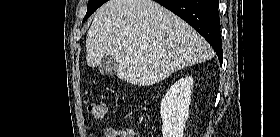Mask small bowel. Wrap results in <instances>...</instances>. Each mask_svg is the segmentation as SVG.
Returning a JSON list of instances; mask_svg holds the SVG:
<instances>
[{
    "mask_svg": "<svg viewBox=\"0 0 280 137\" xmlns=\"http://www.w3.org/2000/svg\"><path fill=\"white\" fill-rule=\"evenodd\" d=\"M104 137H138L132 129L116 130L108 127L104 130Z\"/></svg>",
    "mask_w": 280,
    "mask_h": 137,
    "instance_id": "small-bowel-1",
    "label": "small bowel"
}]
</instances>
